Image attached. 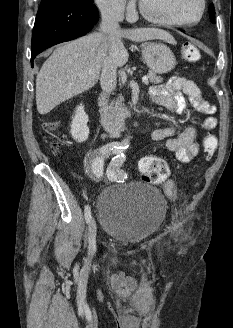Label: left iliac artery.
Here are the masks:
<instances>
[{
  "instance_id": "left-iliac-artery-1",
  "label": "left iliac artery",
  "mask_w": 233,
  "mask_h": 328,
  "mask_svg": "<svg viewBox=\"0 0 233 328\" xmlns=\"http://www.w3.org/2000/svg\"><path fill=\"white\" fill-rule=\"evenodd\" d=\"M124 161V153L119 154L112 159L110 166L107 169V176L109 180L124 182L127 179V174L120 168Z\"/></svg>"
}]
</instances>
